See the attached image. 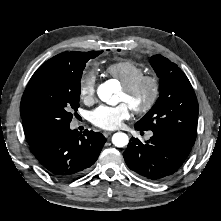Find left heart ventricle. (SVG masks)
Returning <instances> with one entry per match:
<instances>
[{"mask_svg": "<svg viewBox=\"0 0 221 221\" xmlns=\"http://www.w3.org/2000/svg\"><path fill=\"white\" fill-rule=\"evenodd\" d=\"M147 97H148V91L145 89L140 91L134 96L128 95L122 89L119 94V101L127 102L132 107L133 105H139V104L144 103Z\"/></svg>", "mask_w": 221, "mask_h": 221, "instance_id": "b2bd125f", "label": "left heart ventricle"}]
</instances>
